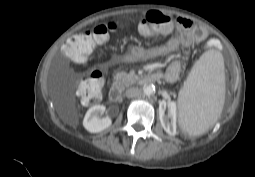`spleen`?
I'll return each mask as SVG.
<instances>
[{
    "instance_id": "1",
    "label": "spleen",
    "mask_w": 255,
    "mask_h": 177,
    "mask_svg": "<svg viewBox=\"0 0 255 177\" xmlns=\"http://www.w3.org/2000/svg\"><path fill=\"white\" fill-rule=\"evenodd\" d=\"M225 98L224 60L220 52L206 51L195 62L179 92V123L189 135H201L221 115Z\"/></svg>"
}]
</instances>
